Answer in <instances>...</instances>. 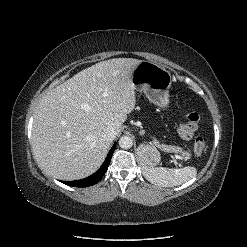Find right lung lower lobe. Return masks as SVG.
Wrapping results in <instances>:
<instances>
[{
	"instance_id": "right-lung-lower-lobe-1",
	"label": "right lung lower lobe",
	"mask_w": 247,
	"mask_h": 247,
	"mask_svg": "<svg viewBox=\"0 0 247 247\" xmlns=\"http://www.w3.org/2000/svg\"><path fill=\"white\" fill-rule=\"evenodd\" d=\"M115 149V144L112 146L110 152L108 153L104 163L102 166L91 176L81 179V180H76V181H63V183L73 186V187H88L91 185L96 184L97 182L100 181V179L103 177V175L106 173L110 160L112 158L113 152Z\"/></svg>"
}]
</instances>
